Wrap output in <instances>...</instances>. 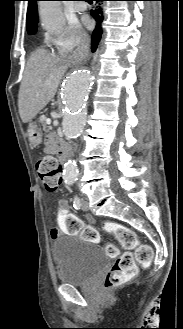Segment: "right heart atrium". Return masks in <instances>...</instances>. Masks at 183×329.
<instances>
[{
	"mask_svg": "<svg viewBox=\"0 0 183 329\" xmlns=\"http://www.w3.org/2000/svg\"><path fill=\"white\" fill-rule=\"evenodd\" d=\"M46 39L49 43L55 45L59 51L67 52L78 44L86 43L87 35L78 22H73L63 33L57 36L47 34Z\"/></svg>",
	"mask_w": 183,
	"mask_h": 329,
	"instance_id": "obj_1",
	"label": "right heart atrium"
}]
</instances>
